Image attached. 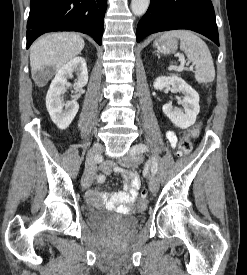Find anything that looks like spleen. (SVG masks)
Returning <instances> with one entry per match:
<instances>
[{
  "label": "spleen",
  "mask_w": 247,
  "mask_h": 275,
  "mask_svg": "<svg viewBox=\"0 0 247 275\" xmlns=\"http://www.w3.org/2000/svg\"><path fill=\"white\" fill-rule=\"evenodd\" d=\"M168 38L180 39V49L188 60L195 65V79L199 83L212 82L215 78V68L210 50L206 43L193 32L174 30L165 33L161 41Z\"/></svg>",
  "instance_id": "spleen-1"
}]
</instances>
